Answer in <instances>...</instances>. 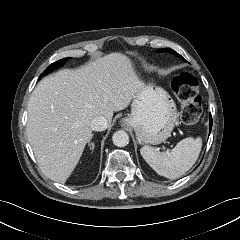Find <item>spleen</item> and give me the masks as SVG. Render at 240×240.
Returning a JSON list of instances; mask_svg holds the SVG:
<instances>
[{"instance_id": "3e777b00", "label": "spleen", "mask_w": 240, "mask_h": 240, "mask_svg": "<svg viewBox=\"0 0 240 240\" xmlns=\"http://www.w3.org/2000/svg\"><path fill=\"white\" fill-rule=\"evenodd\" d=\"M202 148V139L187 137L179 141L169 152H160L144 146L140 153L153 170L166 178L176 179L185 174L197 161Z\"/></svg>"}]
</instances>
